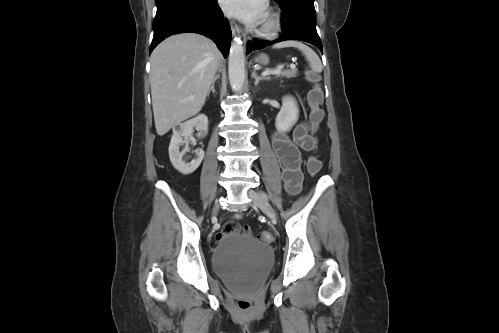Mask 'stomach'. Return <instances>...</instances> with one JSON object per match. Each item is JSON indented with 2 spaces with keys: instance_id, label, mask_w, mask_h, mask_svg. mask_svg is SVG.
I'll use <instances>...</instances> for the list:
<instances>
[{
  "instance_id": "0dacf381",
  "label": "stomach",
  "mask_w": 499,
  "mask_h": 333,
  "mask_svg": "<svg viewBox=\"0 0 499 333\" xmlns=\"http://www.w3.org/2000/svg\"><path fill=\"white\" fill-rule=\"evenodd\" d=\"M255 63L259 65H267L269 63V57L266 54H260L255 58Z\"/></svg>"
}]
</instances>
